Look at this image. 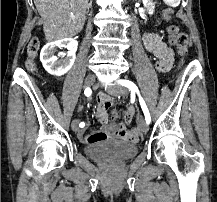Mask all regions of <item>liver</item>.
Segmentation results:
<instances>
[{
    "label": "liver",
    "mask_w": 217,
    "mask_h": 202,
    "mask_svg": "<svg viewBox=\"0 0 217 202\" xmlns=\"http://www.w3.org/2000/svg\"><path fill=\"white\" fill-rule=\"evenodd\" d=\"M89 0H34L43 18L47 42L72 38L81 32Z\"/></svg>",
    "instance_id": "liver-1"
}]
</instances>
